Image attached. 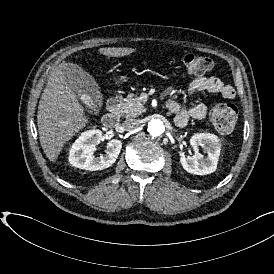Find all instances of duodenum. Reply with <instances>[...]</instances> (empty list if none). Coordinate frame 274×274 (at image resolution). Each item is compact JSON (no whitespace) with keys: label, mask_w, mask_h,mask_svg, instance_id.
<instances>
[{"label":"duodenum","mask_w":274,"mask_h":274,"mask_svg":"<svg viewBox=\"0 0 274 274\" xmlns=\"http://www.w3.org/2000/svg\"><path fill=\"white\" fill-rule=\"evenodd\" d=\"M121 98L118 95L111 96L108 100V112L102 118V124L106 129H115L120 123Z\"/></svg>","instance_id":"duodenum-1"}]
</instances>
